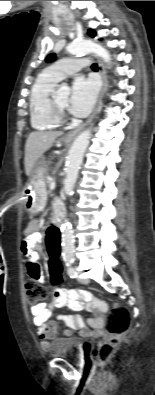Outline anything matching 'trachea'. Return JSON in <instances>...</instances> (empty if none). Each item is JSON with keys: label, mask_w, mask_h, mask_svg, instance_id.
Instances as JSON below:
<instances>
[{"label": "trachea", "mask_w": 155, "mask_h": 395, "mask_svg": "<svg viewBox=\"0 0 155 395\" xmlns=\"http://www.w3.org/2000/svg\"><path fill=\"white\" fill-rule=\"evenodd\" d=\"M91 68H92L93 70H97V64H96V63L92 64Z\"/></svg>", "instance_id": "1"}]
</instances>
